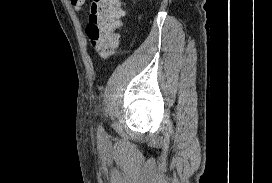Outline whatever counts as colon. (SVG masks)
Segmentation results:
<instances>
[{"label":"colon","instance_id":"obj_1","mask_svg":"<svg viewBox=\"0 0 272 183\" xmlns=\"http://www.w3.org/2000/svg\"><path fill=\"white\" fill-rule=\"evenodd\" d=\"M71 2L78 7L84 0ZM122 16L121 0H92L90 3L86 34L91 45L103 57L110 56L118 44L117 31Z\"/></svg>","mask_w":272,"mask_h":183}]
</instances>
